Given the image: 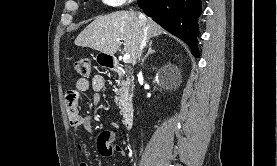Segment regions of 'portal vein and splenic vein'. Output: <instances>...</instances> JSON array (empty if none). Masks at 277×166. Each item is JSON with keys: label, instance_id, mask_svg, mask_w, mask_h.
<instances>
[{"label": "portal vein and splenic vein", "instance_id": "portal-vein-and-splenic-vein-1", "mask_svg": "<svg viewBox=\"0 0 277 166\" xmlns=\"http://www.w3.org/2000/svg\"><path fill=\"white\" fill-rule=\"evenodd\" d=\"M117 41L119 42L120 39H117ZM130 60H131L130 54H129V53H125L124 56H123V61H124V63H129Z\"/></svg>", "mask_w": 277, "mask_h": 166}]
</instances>
